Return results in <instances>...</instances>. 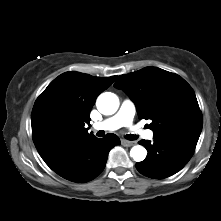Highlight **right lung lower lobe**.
<instances>
[{
	"label": "right lung lower lobe",
	"mask_w": 221,
	"mask_h": 221,
	"mask_svg": "<svg viewBox=\"0 0 221 221\" xmlns=\"http://www.w3.org/2000/svg\"><path fill=\"white\" fill-rule=\"evenodd\" d=\"M115 134L95 136L54 149L41 155L45 163L61 177L77 183L96 178L104 169L109 151L119 145Z\"/></svg>",
	"instance_id": "98d812e1"
}]
</instances>
